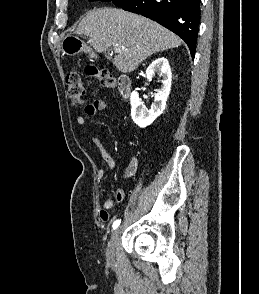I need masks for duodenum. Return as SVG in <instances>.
<instances>
[{
	"label": "duodenum",
	"instance_id": "duodenum-1",
	"mask_svg": "<svg viewBox=\"0 0 259 294\" xmlns=\"http://www.w3.org/2000/svg\"><path fill=\"white\" fill-rule=\"evenodd\" d=\"M118 91L122 97H128L131 93V81L127 76H121L118 81Z\"/></svg>",
	"mask_w": 259,
	"mask_h": 294
}]
</instances>
